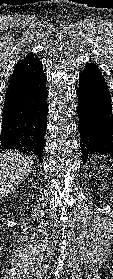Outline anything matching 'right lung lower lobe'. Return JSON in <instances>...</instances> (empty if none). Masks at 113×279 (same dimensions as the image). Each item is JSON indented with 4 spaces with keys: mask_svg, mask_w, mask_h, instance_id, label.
<instances>
[{
    "mask_svg": "<svg viewBox=\"0 0 113 279\" xmlns=\"http://www.w3.org/2000/svg\"><path fill=\"white\" fill-rule=\"evenodd\" d=\"M42 63L5 96L0 152L19 149L42 163L48 91Z\"/></svg>",
    "mask_w": 113,
    "mask_h": 279,
    "instance_id": "1",
    "label": "right lung lower lobe"
}]
</instances>
